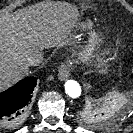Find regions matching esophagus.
<instances>
[{"mask_svg": "<svg viewBox=\"0 0 133 133\" xmlns=\"http://www.w3.org/2000/svg\"><path fill=\"white\" fill-rule=\"evenodd\" d=\"M70 66L62 65L59 69L58 77L61 81H65L70 77Z\"/></svg>", "mask_w": 133, "mask_h": 133, "instance_id": "obj_1", "label": "esophagus"}]
</instances>
